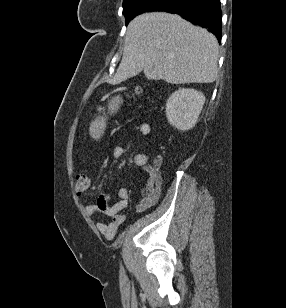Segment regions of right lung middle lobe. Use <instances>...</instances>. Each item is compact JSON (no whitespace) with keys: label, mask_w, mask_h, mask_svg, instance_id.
I'll list each match as a JSON object with an SVG mask.
<instances>
[{"label":"right lung middle lobe","mask_w":286,"mask_h":308,"mask_svg":"<svg viewBox=\"0 0 286 308\" xmlns=\"http://www.w3.org/2000/svg\"><path fill=\"white\" fill-rule=\"evenodd\" d=\"M167 1L168 0H124L123 15L126 18V25L136 15L153 11Z\"/></svg>","instance_id":"right-lung-middle-lobe-1"}]
</instances>
